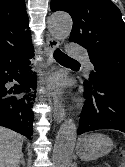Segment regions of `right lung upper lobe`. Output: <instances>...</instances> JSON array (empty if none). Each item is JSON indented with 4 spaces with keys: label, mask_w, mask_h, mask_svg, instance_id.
<instances>
[{
    "label": "right lung upper lobe",
    "mask_w": 125,
    "mask_h": 167,
    "mask_svg": "<svg viewBox=\"0 0 125 167\" xmlns=\"http://www.w3.org/2000/svg\"><path fill=\"white\" fill-rule=\"evenodd\" d=\"M31 41L24 0H0V53Z\"/></svg>",
    "instance_id": "right-lung-upper-lobe-1"
}]
</instances>
